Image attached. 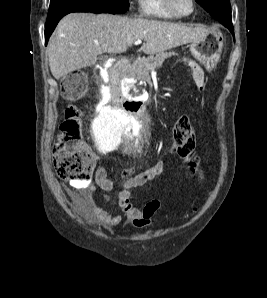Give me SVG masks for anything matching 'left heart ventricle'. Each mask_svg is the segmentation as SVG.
Listing matches in <instances>:
<instances>
[{
	"label": "left heart ventricle",
	"mask_w": 267,
	"mask_h": 298,
	"mask_svg": "<svg viewBox=\"0 0 267 298\" xmlns=\"http://www.w3.org/2000/svg\"><path fill=\"white\" fill-rule=\"evenodd\" d=\"M174 9L180 14H187L191 11V0H171Z\"/></svg>",
	"instance_id": "1"
}]
</instances>
